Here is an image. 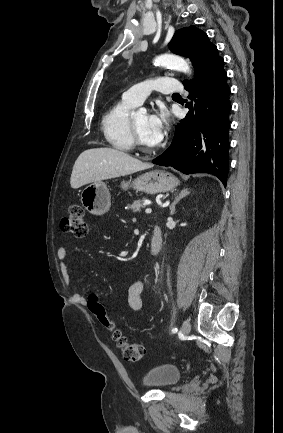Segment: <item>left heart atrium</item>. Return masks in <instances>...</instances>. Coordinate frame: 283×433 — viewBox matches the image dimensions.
I'll use <instances>...</instances> for the list:
<instances>
[{"mask_svg": "<svg viewBox=\"0 0 283 433\" xmlns=\"http://www.w3.org/2000/svg\"><path fill=\"white\" fill-rule=\"evenodd\" d=\"M168 129L167 118L164 114H152L148 118L146 130L142 136L143 143L149 150H156L163 141Z\"/></svg>", "mask_w": 283, "mask_h": 433, "instance_id": "left-heart-atrium-1", "label": "left heart atrium"}]
</instances>
